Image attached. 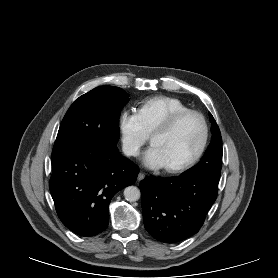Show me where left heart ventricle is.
Masks as SVG:
<instances>
[{
	"mask_svg": "<svg viewBox=\"0 0 278 278\" xmlns=\"http://www.w3.org/2000/svg\"><path fill=\"white\" fill-rule=\"evenodd\" d=\"M202 132L200 120L189 116L170 132L155 135L152 144L160 151L165 166H172L187 160L196 152Z\"/></svg>",
	"mask_w": 278,
	"mask_h": 278,
	"instance_id": "left-heart-ventricle-1",
	"label": "left heart ventricle"
}]
</instances>
